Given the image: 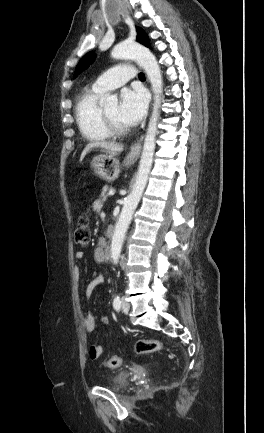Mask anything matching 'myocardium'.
Returning <instances> with one entry per match:
<instances>
[{
	"label": "myocardium",
	"mask_w": 264,
	"mask_h": 433,
	"mask_svg": "<svg viewBox=\"0 0 264 433\" xmlns=\"http://www.w3.org/2000/svg\"><path fill=\"white\" fill-rule=\"evenodd\" d=\"M101 114L104 120V123L111 133L114 136H124L129 133L130 129L128 127H122L118 125L105 111L104 108H101Z\"/></svg>",
	"instance_id": "obj_1"
}]
</instances>
